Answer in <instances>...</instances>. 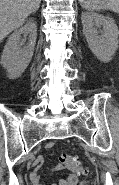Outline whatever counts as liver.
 I'll return each instance as SVG.
<instances>
[{
    "instance_id": "1",
    "label": "liver",
    "mask_w": 119,
    "mask_h": 185,
    "mask_svg": "<svg viewBox=\"0 0 119 185\" xmlns=\"http://www.w3.org/2000/svg\"><path fill=\"white\" fill-rule=\"evenodd\" d=\"M41 0H0V43L37 11Z\"/></svg>"
}]
</instances>
